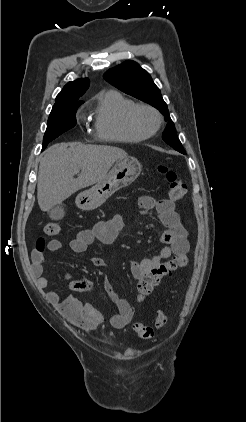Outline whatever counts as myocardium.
I'll list each match as a JSON object with an SVG mask.
<instances>
[{
  "label": "myocardium",
  "instance_id": "1",
  "mask_svg": "<svg viewBox=\"0 0 246 422\" xmlns=\"http://www.w3.org/2000/svg\"><path fill=\"white\" fill-rule=\"evenodd\" d=\"M149 112L156 118V125L152 129H147L141 121V114ZM128 121L131 127L139 134L148 138L154 136L162 127L163 117L161 113L153 106L148 104H136L128 114Z\"/></svg>",
  "mask_w": 246,
  "mask_h": 422
}]
</instances>
